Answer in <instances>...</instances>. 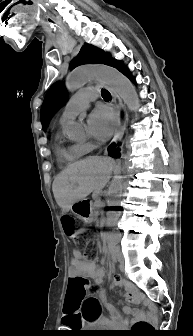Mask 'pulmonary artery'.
<instances>
[{"instance_id": "1", "label": "pulmonary artery", "mask_w": 193, "mask_h": 336, "mask_svg": "<svg viewBox=\"0 0 193 336\" xmlns=\"http://www.w3.org/2000/svg\"><path fill=\"white\" fill-rule=\"evenodd\" d=\"M97 97L98 93L93 88L84 89L72 95L61 114L60 124H66L68 121L74 119L80 113L85 111L89 106L90 101L95 100Z\"/></svg>"}]
</instances>
